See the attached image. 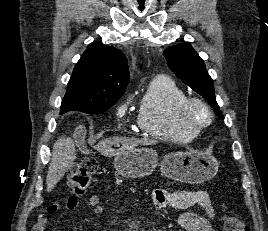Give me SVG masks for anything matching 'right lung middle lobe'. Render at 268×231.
<instances>
[{"instance_id": "obj_1", "label": "right lung middle lobe", "mask_w": 268, "mask_h": 231, "mask_svg": "<svg viewBox=\"0 0 268 231\" xmlns=\"http://www.w3.org/2000/svg\"><path fill=\"white\" fill-rule=\"evenodd\" d=\"M117 100L118 99L111 100V101H104L95 105H84V104H77V103H72V102H68L64 104L62 103L60 114H63L70 110L82 111V112L89 113V114H100V113L107 111L112 105H114L117 102Z\"/></svg>"}]
</instances>
